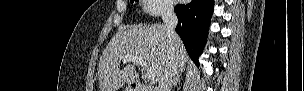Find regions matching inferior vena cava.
<instances>
[{"instance_id":"602c4592","label":"inferior vena cava","mask_w":304,"mask_h":91,"mask_svg":"<svg viewBox=\"0 0 304 91\" xmlns=\"http://www.w3.org/2000/svg\"><path fill=\"white\" fill-rule=\"evenodd\" d=\"M162 19L167 31V37L169 41V52L175 54V44L179 40V37L175 31L178 24L177 16L174 12L172 5H167L163 9ZM178 73V64L175 60H171L168 68L165 70L162 78L159 81L158 91H170L172 83Z\"/></svg>"}]
</instances>
